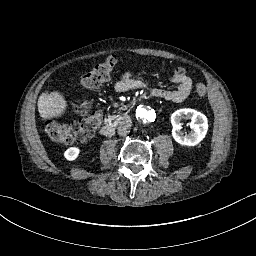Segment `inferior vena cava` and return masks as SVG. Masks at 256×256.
Wrapping results in <instances>:
<instances>
[{
  "label": "inferior vena cava",
  "mask_w": 256,
  "mask_h": 256,
  "mask_svg": "<svg viewBox=\"0 0 256 256\" xmlns=\"http://www.w3.org/2000/svg\"><path fill=\"white\" fill-rule=\"evenodd\" d=\"M131 131V128L129 126L126 125H122L118 127V135L126 137L129 135Z\"/></svg>",
  "instance_id": "obj_1"
}]
</instances>
